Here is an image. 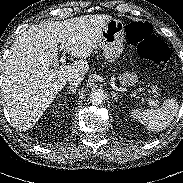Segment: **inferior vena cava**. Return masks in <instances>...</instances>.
Instances as JSON below:
<instances>
[{"label":"inferior vena cava","mask_w":183,"mask_h":183,"mask_svg":"<svg viewBox=\"0 0 183 183\" xmlns=\"http://www.w3.org/2000/svg\"><path fill=\"white\" fill-rule=\"evenodd\" d=\"M83 78H84L83 75L74 73V74L70 75L67 80L70 84L77 86V85L81 84V82L83 81Z\"/></svg>","instance_id":"inferior-vena-cava-1"}]
</instances>
